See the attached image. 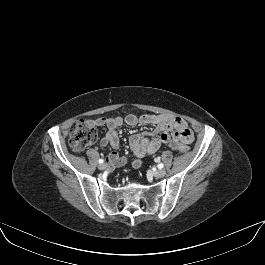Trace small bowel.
Masks as SVG:
<instances>
[{
  "mask_svg": "<svg viewBox=\"0 0 265 265\" xmlns=\"http://www.w3.org/2000/svg\"><path fill=\"white\" fill-rule=\"evenodd\" d=\"M88 122L93 126L107 128V133L101 139L100 145L102 147L109 145L113 149H118L120 146L117 129L124 122L129 126H136L139 124L153 125L155 128L150 133L133 134L129 136V144L135 156L132 160V165L135 168L141 167V158L155 153L162 144L170 145L173 140H178L185 144H190L193 141V133L188 128L185 120L166 114H145L142 116L129 114L124 120L121 117H99L89 120ZM126 161V157H119L115 152L110 155L112 166L123 165Z\"/></svg>",
  "mask_w": 265,
  "mask_h": 265,
  "instance_id": "1",
  "label": "small bowel"
}]
</instances>
